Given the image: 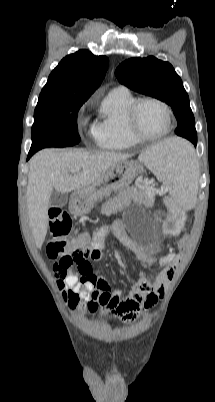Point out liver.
Returning a JSON list of instances; mask_svg holds the SVG:
<instances>
[{
    "instance_id": "liver-1",
    "label": "liver",
    "mask_w": 215,
    "mask_h": 402,
    "mask_svg": "<svg viewBox=\"0 0 215 402\" xmlns=\"http://www.w3.org/2000/svg\"><path fill=\"white\" fill-rule=\"evenodd\" d=\"M128 158L127 154L82 150L44 149L36 153L30 160L26 191L29 224L36 247H42L47 234L49 199L54 189L65 194L83 189ZM74 168L81 172L71 175Z\"/></svg>"
}]
</instances>
